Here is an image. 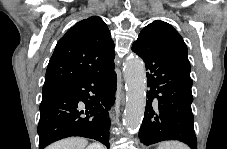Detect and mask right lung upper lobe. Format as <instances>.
Segmentation results:
<instances>
[{
    "label": "right lung upper lobe",
    "mask_w": 227,
    "mask_h": 149,
    "mask_svg": "<svg viewBox=\"0 0 227 149\" xmlns=\"http://www.w3.org/2000/svg\"><path fill=\"white\" fill-rule=\"evenodd\" d=\"M114 56V42L103 20L97 16L84 19L58 41L43 89H54L99 70Z\"/></svg>",
    "instance_id": "obj_1"
}]
</instances>
